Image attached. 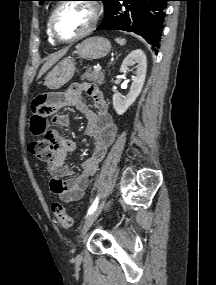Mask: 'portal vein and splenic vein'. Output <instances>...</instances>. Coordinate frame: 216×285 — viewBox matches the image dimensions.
Returning a JSON list of instances; mask_svg holds the SVG:
<instances>
[{
	"label": "portal vein and splenic vein",
	"mask_w": 216,
	"mask_h": 285,
	"mask_svg": "<svg viewBox=\"0 0 216 285\" xmlns=\"http://www.w3.org/2000/svg\"><path fill=\"white\" fill-rule=\"evenodd\" d=\"M101 70V66H97V67H95V69H94V71H96V72H98V71H100Z\"/></svg>",
	"instance_id": "1"
}]
</instances>
